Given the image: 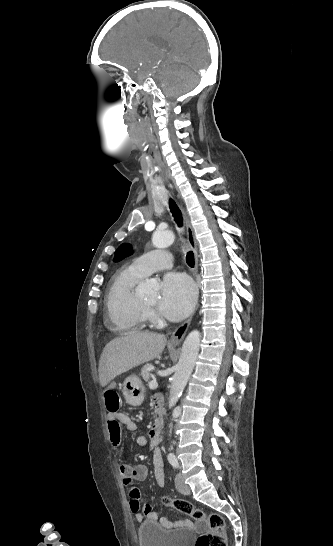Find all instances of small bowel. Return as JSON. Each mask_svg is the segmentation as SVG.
I'll list each match as a JSON object with an SVG mask.
<instances>
[{
	"mask_svg": "<svg viewBox=\"0 0 333 546\" xmlns=\"http://www.w3.org/2000/svg\"><path fill=\"white\" fill-rule=\"evenodd\" d=\"M107 386L105 387L106 393L113 392V388L116 387V380L115 379H108L107 380ZM154 404L156 407V413L157 415H161L162 413V400L161 398L157 397L154 399ZM107 427H108V433L109 438L114 446H118L120 442V437L117 439L116 433L117 430H120L121 433V425H125L126 428L130 431H135L137 429V425L135 422H133L126 414L121 412L111 413L108 411L107 413ZM159 440H155L150 435V440L148 441L144 436H138L135 438V443L139 446H150L153 447L158 443ZM153 467H154V478L158 486H162L165 481V475H164V467H163V459L161 452L156 449L153 453ZM119 475L128 491V494L131 498L129 506L131 512L134 514L135 519L137 521H142L144 519H149L153 521H159V523L164 527H169L173 525L172 522H170L167 518L162 517L158 519V516L156 512H154L152 506L150 504H145L143 509H140V500H139V492L134 487L135 481H141L144 480L148 475V468L143 464H137V465H130V464H121L119 466ZM185 521H179L175 525H182Z\"/></svg>",
	"mask_w": 333,
	"mask_h": 546,
	"instance_id": "small-bowel-1",
	"label": "small bowel"
}]
</instances>
